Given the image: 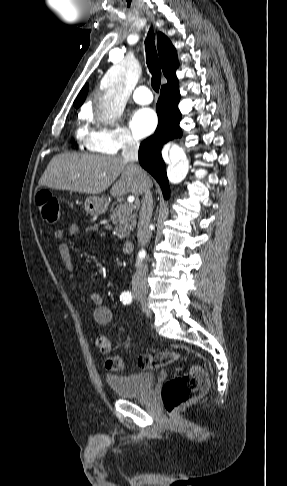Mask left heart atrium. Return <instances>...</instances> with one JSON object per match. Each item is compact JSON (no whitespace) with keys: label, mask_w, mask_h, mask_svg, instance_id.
I'll list each match as a JSON object with an SVG mask.
<instances>
[{"label":"left heart atrium","mask_w":287,"mask_h":486,"mask_svg":"<svg viewBox=\"0 0 287 486\" xmlns=\"http://www.w3.org/2000/svg\"><path fill=\"white\" fill-rule=\"evenodd\" d=\"M157 117L155 112L149 108H141L134 112L130 120V126L138 138H143L155 129Z\"/></svg>","instance_id":"left-heart-atrium-1"}]
</instances>
